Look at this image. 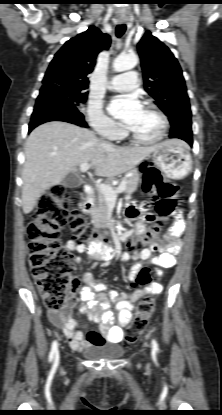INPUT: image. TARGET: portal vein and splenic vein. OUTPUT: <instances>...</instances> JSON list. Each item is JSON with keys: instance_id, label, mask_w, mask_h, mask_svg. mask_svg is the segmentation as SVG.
Listing matches in <instances>:
<instances>
[{"instance_id": "18ae733b", "label": "portal vein and splenic vein", "mask_w": 222, "mask_h": 415, "mask_svg": "<svg viewBox=\"0 0 222 415\" xmlns=\"http://www.w3.org/2000/svg\"><path fill=\"white\" fill-rule=\"evenodd\" d=\"M89 168V163H83L80 165L82 172H86ZM96 186L99 191L105 195L108 203L115 204L118 194L122 193L126 188V181L123 180L116 189H113L111 186L104 183H96Z\"/></svg>"}]
</instances>
